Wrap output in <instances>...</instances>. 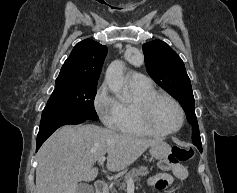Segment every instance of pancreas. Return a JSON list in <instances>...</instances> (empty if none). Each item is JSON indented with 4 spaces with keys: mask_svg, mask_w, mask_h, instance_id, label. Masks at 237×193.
<instances>
[{
    "mask_svg": "<svg viewBox=\"0 0 237 193\" xmlns=\"http://www.w3.org/2000/svg\"><path fill=\"white\" fill-rule=\"evenodd\" d=\"M147 174H149V171L147 170V168L144 166H139L138 168H134V169L130 170L125 175V179L123 180V182H120L121 179L118 180L117 182H113L110 185V188L112 189L113 186L115 185V186L119 187L120 191L125 190L128 178L139 180L140 177L146 176ZM112 193H117V191L113 190Z\"/></svg>",
    "mask_w": 237,
    "mask_h": 193,
    "instance_id": "obj_1",
    "label": "pancreas"
}]
</instances>
